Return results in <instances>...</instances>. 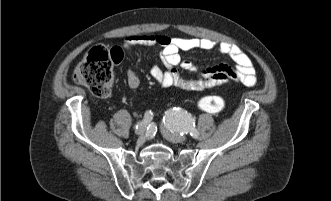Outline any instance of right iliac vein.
Here are the masks:
<instances>
[{
	"label": "right iliac vein",
	"instance_id": "right-iliac-vein-1",
	"mask_svg": "<svg viewBox=\"0 0 331 201\" xmlns=\"http://www.w3.org/2000/svg\"><path fill=\"white\" fill-rule=\"evenodd\" d=\"M146 132V126L140 125L138 128L135 129V133L137 135H144Z\"/></svg>",
	"mask_w": 331,
	"mask_h": 201
}]
</instances>
